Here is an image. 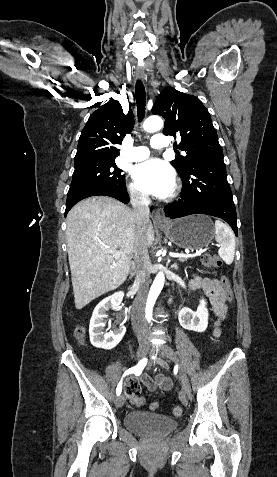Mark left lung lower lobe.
<instances>
[{
	"mask_svg": "<svg viewBox=\"0 0 277 477\" xmlns=\"http://www.w3.org/2000/svg\"><path fill=\"white\" fill-rule=\"evenodd\" d=\"M183 181L181 199L164 208L171 219L191 214H207L225 220L237 236V216L227 181L223 154H211L193 162Z\"/></svg>",
	"mask_w": 277,
	"mask_h": 477,
	"instance_id": "obj_1",
	"label": "left lung lower lobe"
}]
</instances>
